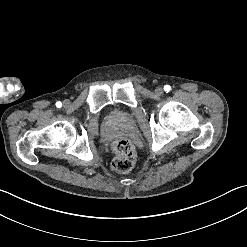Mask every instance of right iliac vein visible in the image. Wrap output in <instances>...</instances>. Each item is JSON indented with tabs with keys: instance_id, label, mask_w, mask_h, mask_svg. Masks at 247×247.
Segmentation results:
<instances>
[{
	"instance_id": "right-iliac-vein-1",
	"label": "right iliac vein",
	"mask_w": 247,
	"mask_h": 247,
	"mask_svg": "<svg viewBox=\"0 0 247 247\" xmlns=\"http://www.w3.org/2000/svg\"><path fill=\"white\" fill-rule=\"evenodd\" d=\"M63 104H64V106H69V105H70V102H69L68 100H65V101L63 102Z\"/></svg>"
}]
</instances>
